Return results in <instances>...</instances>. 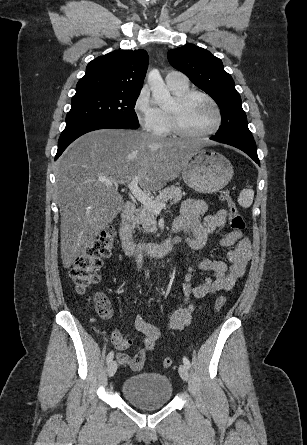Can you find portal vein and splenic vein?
I'll use <instances>...</instances> for the list:
<instances>
[{"label":"portal vein and splenic vein","mask_w":307,"mask_h":445,"mask_svg":"<svg viewBox=\"0 0 307 445\" xmlns=\"http://www.w3.org/2000/svg\"><path fill=\"white\" fill-rule=\"evenodd\" d=\"M140 176H142V174H137V176H134L131 182H127V186L129 190H131L133 196H135V198H137V200H139L141 204H144V206H148L150 210H154L156 214H159L162 208H165L166 202H155L153 198H150L149 194L143 192L142 188L138 186ZM101 182H106V184H112V182H109V180H101Z\"/></svg>","instance_id":"18ae733b"}]
</instances>
